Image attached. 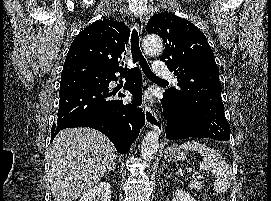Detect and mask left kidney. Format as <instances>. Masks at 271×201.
Wrapping results in <instances>:
<instances>
[{
    "mask_svg": "<svg viewBox=\"0 0 271 201\" xmlns=\"http://www.w3.org/2000/svg\"><path fill=\"white\" fill-rule=\"evenodd\" d=\"M172 201H196V200L184 190L178 189L176 190Z\"/></svg>",
    "mask_w": 271,
    "mask_h": 201,
    "instance_id": "obj_1",
    "label": "left kidney"
}]
</instances>
